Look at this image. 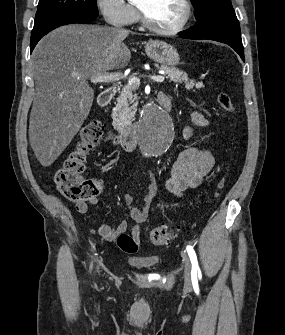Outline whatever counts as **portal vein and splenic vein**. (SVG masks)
Here are the masks:
<instances>
[{"instance_id":"obj_1","label":"portal vein and splenic vein","mask_w":285,"mask_h":335,"mask_svg":"<svg viewBox=\"0 0 285 335\" xmlns=\"http://www.w3.org/2000/svg\"><path fill=\"white\" fill-rule=\"evenodd\" d=\"M158 74H166V72H158ZM123 78H126L123 74H99V76H92L90 82L103 84V82H119ZM148 78H151L153 82H164L165 80L164 76H148ZM138 82H140L139 78H132V76L128 80V84H138Z\"/></svg>"}]
</instances>
